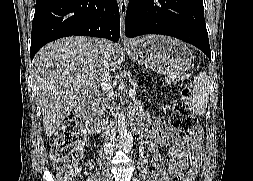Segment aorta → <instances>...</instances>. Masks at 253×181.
I'll list each match as a JSON object with an SVG mask.
<instances>
[{
	"label": "aorta",
	"instance_id": "762f6f07",
	"mask_svg": "<svg viewBox=\"0 0 253 181\" xmlns=\"http://www.w3.org/2000/svg\"><path fill=\"white\" fill-rule=\"evenodd\" d=\"M121 111L123 110L122 108L120 109ZM126 112H119L118 114V123L115 124V127L119 129V139L121 141V149H128V144H126L125 139H126Z\"/></svg>",
	"mask_w": 253,
	"mask_h": 181
}]
</instances>
